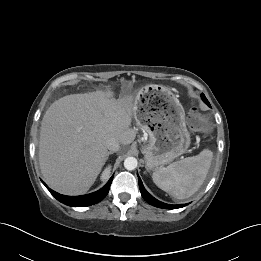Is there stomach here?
<instances>
[{
  "mask_svg": "<svg viewBox=\"0 0 261 261\" xmlns=\"http://www.w3.org/2000/svg\"><path fill=\"white\" fill-rule=\"evenodd\" d=\"M134 117L149 135L142 147L146 168L153 170L184 154L191 138L185 111L174 92L161 85H148L137 95Z\"/></svg>",
  "mask_w": 261,
  "mask_h": 261,
  "instance_id": "1",
  "label": "stomach"
}]
</instances>
